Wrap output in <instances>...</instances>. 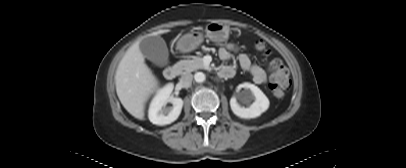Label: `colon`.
Here are the masks:
<instances>
[{
  "label": "colon",
  "mask_w": 406,
  "mask_h": 168,
  "mask_svg": "<svg viewBox=\"0 0 406 168\" xmlns=\"http://www.w3.org/2000/svg\"><path fill=\"white\" fill-rule=\"evenodd\" d=\"M255 49L262 54H269V48L264 42H257ZM271 71L270 75V89L275 97H282L289 87L288 72L279 59L271 60L269 64Z\"/></svg>",
  "instance_id": "colon-1"
}]
</instances>
